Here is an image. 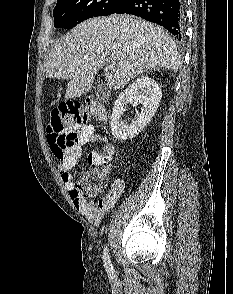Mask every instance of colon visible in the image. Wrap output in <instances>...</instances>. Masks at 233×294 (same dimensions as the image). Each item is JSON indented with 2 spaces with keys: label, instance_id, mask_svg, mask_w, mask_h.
I'll list each match as a JSON object with an SVG mask.
<instances>
[{
  "label": "colon",
  "instance_id": "1",
  "mask_svg": "<svg viewBox=\"0 0 233 294\" xmlns=\"http://www.w3.org/2000/svg\"><path fill=\"white\" fill-rule=\"evenodd\" d=\"M89 119L85 107L78 102L63 103L53 110L47 125V139L52 153L58 160L65 158L68 149L74 143L72 127L86 125ZM102 165H106V162ZM104 182L103 172L89 171L76 183V193L82 197L95 195L102 189Z\"/></svg>",
  "mask_w": 233,
  "mask_h": 294
}]
</instances>
